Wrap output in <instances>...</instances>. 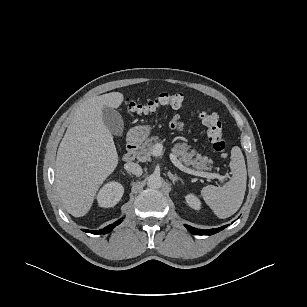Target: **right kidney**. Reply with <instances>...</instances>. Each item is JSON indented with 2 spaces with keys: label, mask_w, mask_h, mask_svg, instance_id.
<instances>
[{
  "label": "right kidney",
  "mask_w": 307,
  "mask_h": 307,
  "mask_svg": "<svg viewBox=\"0 0 307 307\" xmlns=\"http://www.w3.org/2000/svg\"><path fill=\"white\" fill-rule=\"evenodd\" d=\"M124 187L121 183L111 181L106 183L97 194V202L100 207L109 208L115 206L122 198Z\"/></svg>",
  "instance_id": "right-kidney-1"
}]
</instances>
